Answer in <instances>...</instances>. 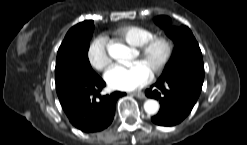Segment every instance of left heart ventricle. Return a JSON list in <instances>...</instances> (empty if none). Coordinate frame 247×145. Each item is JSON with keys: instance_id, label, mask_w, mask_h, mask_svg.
Masks as SVG:
<instances>
[{"instance_id": "b2bd125f", "label": "left heart ventricle", "mask_w": 247, "mask_h": 145, "mask_svg": "<svg viewBox=\"0 0 247 145\" xmlns=\"http://www.w3.org/2000/svg\"><path fill=\"white\" fill-rule=\"evenodd\" d=\"M163 54V46L157 44L145 55H139L136 51L134 54L133 61L143 63L151 71L161 61Z\"/></svg>"}]
</instances>
